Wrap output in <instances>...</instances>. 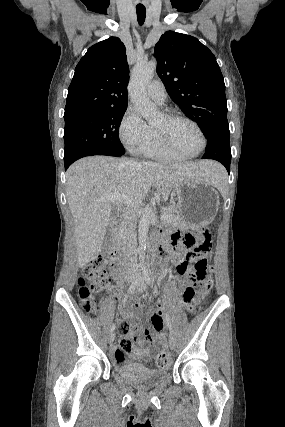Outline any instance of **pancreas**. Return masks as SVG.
<instances>
[{"label": "pancreas", "instance_id": "pancreas-1", "mask_svg": "<svg viewBox=\"0 0 285 427\" xmlns=\"http://www.w3.org/2000/svg\"><path fill=\"white\" fill-rule=\"evenodd\" d=\"M168 218L164 221L166 224L179 225L182 221L179 217L178 208L175 205H170L162 210Z\"/></svg>", "mask_w": 285, "mask_h": 427}]
</instances>
